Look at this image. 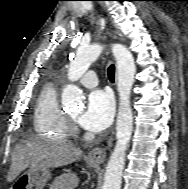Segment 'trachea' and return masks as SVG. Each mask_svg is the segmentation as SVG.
Segmentation results:
<instances>
[{"label":"trachea","mask_w":188,"mask_h":189,"mask_svg":"<svg viewBox=\"0 0 188 189\" xmlns=\"http://www.w3.org/2000/svg\"><path fill=\"white\" fill-rule=\"evenodd\" d=\"M107 73L110 81L113 82L115 77V67L113 64L108 67Z\"/></svg>","instance_id":"1"}]
</instances>
